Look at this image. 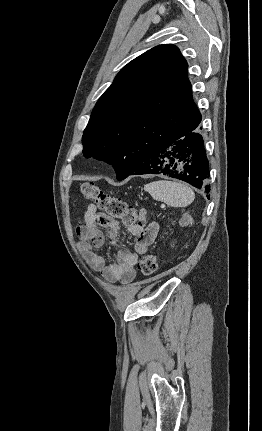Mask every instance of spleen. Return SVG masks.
<instances>
[{"label":"spleen","mask_w":262,"mask_h":431,"mask_svg":"<svg viewBox=\"0 0 262 431\" xmlns=\"http://www.w3.org/2000/svg\"><path fill=\"white\" fill-rule=\"evenodd\" d=\"M154 200L165 202L172 207H186L195 199L193 190L184 183L168 180L150 182L144 186Z\"/></svg>","instance_id":"spleen-1"}]
</instances>
